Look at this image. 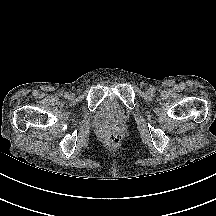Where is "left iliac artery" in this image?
Masks as SVG:
<instances>
[{"label":"left iliac artery","mask_w":216,"mask_h":216,"mask_svg":"<svg viewBox=\"0 0 216 216\" xmlns=\"http://www.w3.org/2000/svg\"><path fill=\"white\" fill-rule=\"evenodd\" d=\"M156 89L155 87H152V93H155Z\"/></svg>","instance_id":"left-iliac-artery-1"}]
</instances>
